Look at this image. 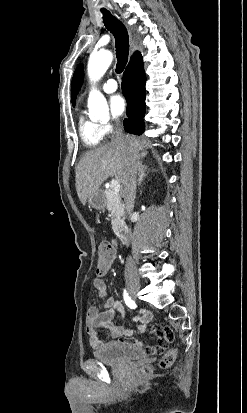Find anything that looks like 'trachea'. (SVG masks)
Here are the masks:
<instances>
[{
  "label": "trachea",
  "mask_w": 247,
  "mask_h": 413,
  "mask_svg": "<svg viewBox=\"0 0 247 413\" xmlns=\"http://www.w3.org/2000/svg\"><path fill=\"white\" fill-rule=\"evenodd\" d=\"M103 21L106 28L113 33L116 42V56L117 65L116 73L123 72L127 61L129 52V38L126 27L120 20H117L111 13L103 11Z\"/></svg>",
  "instance_id": "1"
}]
</instances>
